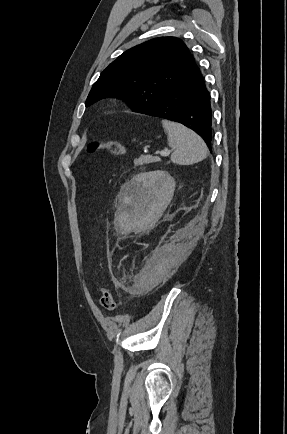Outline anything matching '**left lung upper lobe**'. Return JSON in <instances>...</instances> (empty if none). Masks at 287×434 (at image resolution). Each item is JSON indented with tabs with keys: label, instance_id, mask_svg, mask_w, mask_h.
Segmentation results:
<instances>
[{
	"label": "left lung upper lobe",
	"instance_id": "1",
	"mask_svg": "<svg viewBox=\"0 0 287 434\" xmlns=\"http://www.w3.org/2000/svg\"><path fill=\"white\" fill-rule=\"evenodd\" d=\"M196 66L187 46L176 37L137 45L101 73L85 105L104 97L125 99L133 112L155 105Z\"/></svg>",
	"mask_w": 287,
	"mask_h": 434
}]
</instances>
